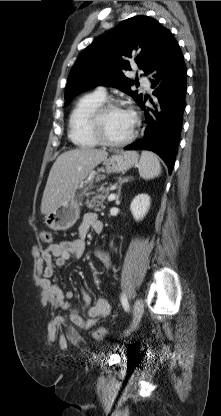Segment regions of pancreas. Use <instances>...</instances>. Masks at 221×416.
I'll list each match as a JSON object with an SVG mask.
<instances>
[{
    "instance_id": "cf45deb5",
    "label": "pancreas",
    "mask_w": 221,
    "mask_h": 416,
    "mask_svg": "<svg viewBox=\"0 0 221 416\" xmlns=\"http://www.w3.org/2000/svg\"><path fill=\"white\" fill-rule=\"evenodd\" d=\"M97 192L98 194L92 197L90 201H87V207L94 209L95 211H99L100 208H104L105 199L108 197V192L105 191L103 186H101Z\"/></svg>"
}]
</instances>
